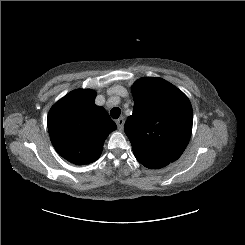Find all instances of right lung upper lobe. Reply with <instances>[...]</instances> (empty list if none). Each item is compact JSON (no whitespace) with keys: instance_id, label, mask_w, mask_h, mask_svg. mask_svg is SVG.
Segmentation results:
<instances>
[{"instance_id":"right-lung-upper-lobe-1","label":"right lung upper lobe","mask_w":245,"mask_h":245,"mask_svg":"<svg viewBox=\"0 0 245 245\" xmlns=\"http://www.w3.org/2000/svg\"><path fill=\"white\" fill-rule=\"evenodd\" d=\"M96 92L78 89L60 99L48 114V130L56 151L71 163L89 164L101 155L107 136L116 130Z\"/></svg>"}]
</instances>
